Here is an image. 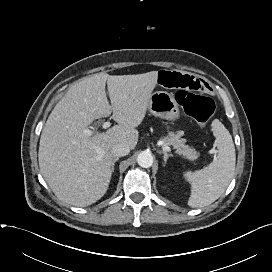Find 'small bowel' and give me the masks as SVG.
<instances>
[{
	"instance_id": "small-bowel-1",
	"label": "small bowel",
	"mask_w": 272,
	"mask_h": 272,
	"mask_svg": "<svg viewBox=\"0 0 272 272\" xmlns=\"http://www.w3.org/2000/svg\"><path fill=\"white\" fill-rule=\"evenodd\" d=\"M159 83L169 89L205 92L210 89L206 81L193 75L174 70H162L158 76Z\"/></svg>"
}]
</instances>
